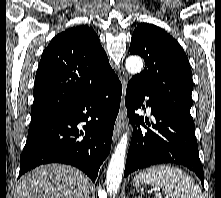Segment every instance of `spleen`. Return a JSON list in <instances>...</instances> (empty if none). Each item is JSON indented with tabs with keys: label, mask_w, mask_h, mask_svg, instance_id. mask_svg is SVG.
<instances>
[{
	"label": "spleen",
	"mask_w": 221,
	"mask_h": 198,
	"mask_svg": "<svg viewBox=\"0 0 221 198\" xmlns=\"http://www.w3.org/2000/svg\"><path fill=\"white\" fill-rule=\"evenodd\" d=\"M133 184H147L160 187L166 194V198H203L202 192L195 181L181 169L171 165H157L138 173ZM157 198H161L158 194Z\"/></svg>",
	"instance_id": "3e777b00"
}]
</instances>
